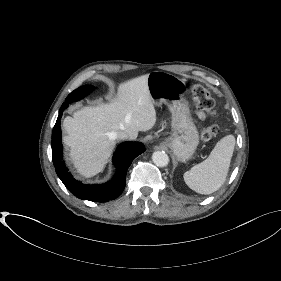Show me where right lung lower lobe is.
Returning <instances> with one entry per match:
<instances>
[{
    "label": "right lung lower lobe",
    "mask_w": 281,
    "mask_h": 281,
    "mask_svg": "<svg viewBox=\"0 0 281 281\" xmlns=\"http://www.w3.org/2000/svg\"><path fill=\"white\" fill-rule=\"evenodd\" d=\"M69 104L65 102L62 105L52 132V157L56 173L66 188L79 199L94 202L114 200L124 190L127 169L131 162L145 151L144 145L138 142H123L118 146L113 156L117 170L113 179L102 185H83L70 175L62 161L60 119Z\"/></svg>",
    "instance_id": "1"
}]
</instances>
